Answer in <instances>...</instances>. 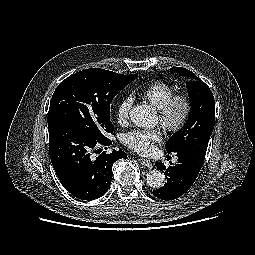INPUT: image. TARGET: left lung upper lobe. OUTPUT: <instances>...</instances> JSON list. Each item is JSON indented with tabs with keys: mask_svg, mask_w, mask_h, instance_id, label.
<instances>
[{
	"mask_svg": "<svg viewBox=\"0 0 255 255\" xmlns=\"http://www.w3.org/2000/svg\"><path fill=\"white\" fill-rule=\"evenodd\" d=\"M172 70L190 78L186 86L192 107L187 122L170 137L165 148L168 153L191 149L206 153L215 124L213 94L208 85L188 69L177 67Z\"/></svg>",
	"mask_w": 255,
	"mask_h": 255,
	"instance_id": "obj_1",
	"label": "left lung upper lobe"
}]
</instances>
